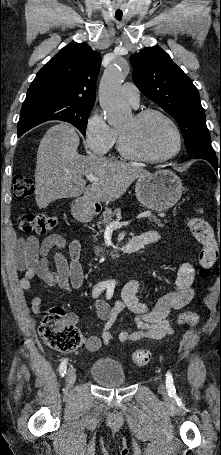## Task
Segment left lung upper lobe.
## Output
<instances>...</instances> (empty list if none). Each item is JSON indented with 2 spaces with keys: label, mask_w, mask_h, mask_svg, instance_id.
I'll use <instances>...</instances> for the list:
<instances>
[{
  "label": "left lung upper lobe",
  "mask_w": 221,
  "mask_h": 455,
  "mask_svg": "<svg viewBox=\"0 0 221 455\" xmlns=\"http://www.w3.org/2000/svg\"><path fill=\"white\" fill-rule=\"evenodd\" d=\"M133 81L139 90L178 123L187 153H215L197 88L160 47L130 56Z\"/></svg>",
  "instance_id": "left-lung-upper-lobe-1"
}]
</instances>
